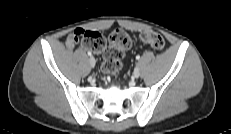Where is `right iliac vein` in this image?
Listing matches in <instances>:
<instances>
[{
    "mask_svg": "<svg viewBox=\"0 0 231 134\" xmlns=\"http://www.w3.org/2000/svg\"><path fill=\"white\" fill-rule=\"evenodd\" d=\"M89 63H90V66H91V67H94V66H95V63H96L95 58L91 56V57L89 58Z\"/></svg>",
    "mask_w": 231,
    "mask_h": 134,
    "instance_id": "63e3f726",
    "label": "right iliac vein"
}]
</instances>
